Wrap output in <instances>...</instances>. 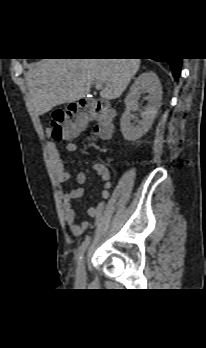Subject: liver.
<instances>
[{"label":"liver","instance_id":"liver-1","mask_svg":"<svg viewBox=\"0 0 206 348\" xmlns=\"http://www.w3.org/2000/svg\"><path fill=\"white\" fill-rule=\"evenodd\" d=\"M140 67V59H42L34 63L26 81L39 115L63 103L84 98L93 82H101L103 99L122 95Z\"/></svg>","mask_w":206,"mask_h":348}]
</instances>
